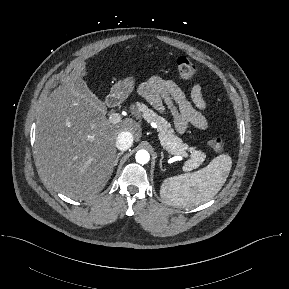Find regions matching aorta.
I'll use <instances>...</instances> for the list:
<instances>
[{"label": "aorta", "instance_id": "aorta-1", "mask_svg": "<svg viewBox=\"0 0 289 289\" xmlns=\"http://www.w3.org/2000/svg\"><path fill=\"white\" fill-rule=\"evenodd\" d=\"M135 158L139 164H146L150 159V155L146 150H139L137 151Z\"/></svg>", "mask_w": 289, "mask_h": 289}]
</instances>
